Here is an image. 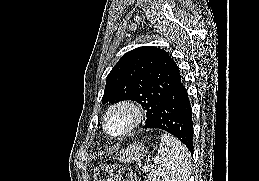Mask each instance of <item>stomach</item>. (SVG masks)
<instances>
[{
    "instance_id": "stomach-1",
    "label": "stomach",
    "mask_w": 259,
    "mask_h": 181,
    "mask_svg": "<svg viewBox=\"0 0 259 181\" xmlns=\"http://www.w3.org/2000/svg\"><path fill=\"white\" fill-rule=\"evenodd\" d=\"M147 152L143 145L133 144L120 152L121 162H136L143 158Z\"/></svg>"
}]
</instances>
